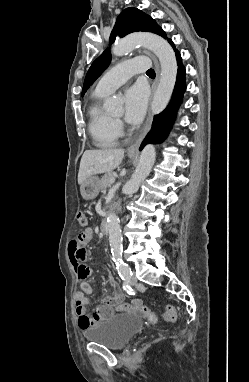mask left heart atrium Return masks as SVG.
Segmentation results:
<instances>
[{
    "label": "left heart atrium",
    "mask_w": 249,
    "mask_h": 382,
    "mask_svg": "<svg viewBox=\"0 0 249 382\" xmlns=\"http://www.w3.org/2000/svg\"><path fill=\"white\" fill-rule=\"evenodd\" d=\"M148 95L144 87L134 85L125 93V120L131 124L142 121L147 107Z\"/></svg>",
    "instance_id": "left-heart-atrium-1"
}]
</instances>
